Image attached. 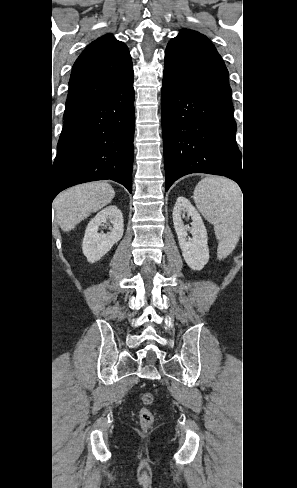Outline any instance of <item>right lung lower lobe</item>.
<instances>
[{
    "mask_svg": "<svg viewBox=\"0 0 297 488\" xmlns=\"http://www.w3.org/2000/svg\"><path fill=\"white\" fill-rule=\"evenodd\" d=\"M133 75L64 114L51 185L52 200L80 183L111 179L132 191L135 127Z\"/></svg>",
    "mask_w": 297,
    "mask_h": 488,
    "instance_id": "1",
    "label": "right lung lower lobe"
}]
</instances>
